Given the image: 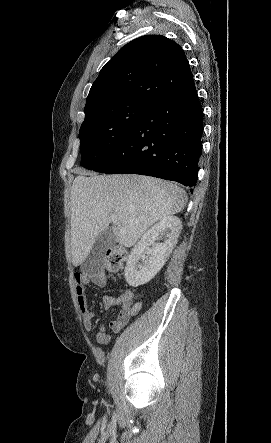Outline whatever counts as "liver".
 I'll return each mask as SVG.
<instances>
[{"mask_svg": "<svg viewBox=\"0 0 271 443\" xmlns=\"http://www.w3.org/2000/svg\"><path fill=\"white\" fill-rule=\"evenodd\" d=\"M70 200L72 263L81 265L110 223L117 241L131 247L150 225L182 212L186 196L177 184L159 178L81 172L72 184Z\"/></svg>", "mask_w": 271, "mask_h": 443, "instance_id": "obj_1", "label": "liver"}]
</instances>
